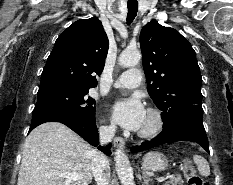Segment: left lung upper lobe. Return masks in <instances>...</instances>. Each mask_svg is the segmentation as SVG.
<instances>
[{"label": "left lung upper lobe", "instance_id": "1", "mask_svg": "<svg viewBox=\"0 0 233 185\" xmlns=\"http://www.w3.org/2000/svg\"><path fill=\"white\" fill-rule=\"evenodd\" d=\"M147 90L162 111L163 128L195 105H201V74L191 44L175 29L156 20L140 33Z\"/></svg>", "mask_w": 233, "mask_h": 185}]
</instances>
